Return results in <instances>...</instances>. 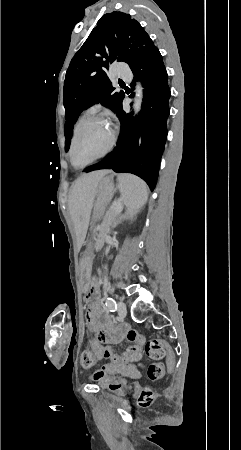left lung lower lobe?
<instances>
[{"label": "left lung lower lobe", "mask_w": 241, "mask_h": 450, "mask_svg": "<svg viewBox=\"0 0 241 450\" xmlns=\"http://www.w3.org/2000/svg\"><path fill=\"white\" fill-rule=\"evenodd\" d=\"M130 68L135 75L133 83L140 77L145 88L139 116L134 119L123 110L121 104L116 113L121 123L117 146L101 162L83 171L113 169L115 172L132 173L141 177L153 190L167 136L168 76L156 46Z\"/></svg>", "instance_id": "0a47b994"}]
</instances>
